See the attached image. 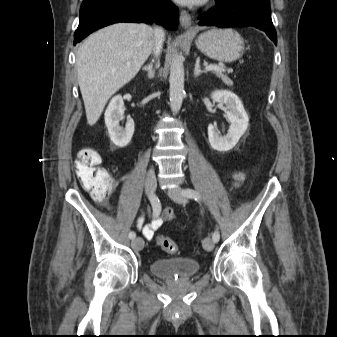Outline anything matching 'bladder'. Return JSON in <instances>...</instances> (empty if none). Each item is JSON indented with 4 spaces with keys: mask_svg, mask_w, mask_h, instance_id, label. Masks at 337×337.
<instances>
[{
    "mask_svg": "<svg viewBox=\"0 0 337 337\" xmlns=\"http://www.w3.org/2000/svg\"><path fill=\"white\" fill-rule=\"evenodd\" d=\"M152 274L161 278L175 276L190 278L200 270V264L184 257H172L153 260L150 264Z\"/></svg>",
    "mask_w": 337,
    "mask_h": 337,
    "instance_id": "bladder-1",
    "label": "bladder"
}]
</instances>
